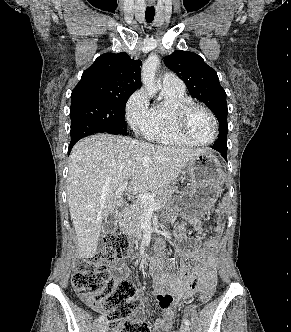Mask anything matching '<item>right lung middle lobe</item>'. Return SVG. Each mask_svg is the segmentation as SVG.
I'll return each instance as SVG.
<instances>
[{
	"label": "right lung middle lobe",
	"mask_w": 291,
	"mask_h": 332,
	"mask_svg": "<svg viewBox=\"0 0 291 332\" xmlns=\"http://www.w3.org/2000/svg\"><path fill=\"white\" fill-rule=\"evenodd\" d=\"M131 94L110 93L89 95L71 99V125L83 120H92L98 132L127 134L125 105Z\"/></svg>",
	"instance_id": "1"
}]
</instances>
